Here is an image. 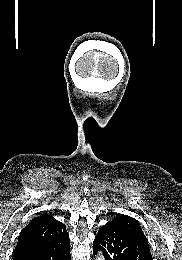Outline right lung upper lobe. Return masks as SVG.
<instances>
[{
	"instance_id": "cb5924a9",
	"label": "right lung upper lobe",
	"mask_w": 182,
	"mask_h": 260,
	"mask_svg": "<svg viewBox=\"0 0 182 260\" xmlns=\"http://www.w3.org/2000/svg\"><path fill=\"white\" fill-rule=\"evenodd\" d=\"M69 240L65 226L50 215L34 218L20 233L14 258L28 252L45 249Z\"/></svg>"
}]
</instances>
